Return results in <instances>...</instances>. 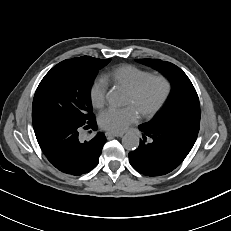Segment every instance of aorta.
<instances>
[{
	"label": "aorta",
	"instance_id": "1",
	"mask_svg": "<svg viewBox=\"0 0 231 231\" xmlns=\"http://www.w3.org/2000/svg\"><path fill=\"white\" fill-rule=\"evenodd\" d=\"M106 99L112 107H120L124 104L122 95L116 90L108 92ZM122 144L126 150H135L139 146V137L134 133H127L122 138Z\"/></svg>",
	"mask_w": 231,
	"mask_h": 231
}]
</instances>
